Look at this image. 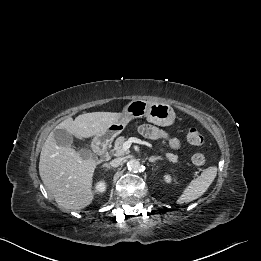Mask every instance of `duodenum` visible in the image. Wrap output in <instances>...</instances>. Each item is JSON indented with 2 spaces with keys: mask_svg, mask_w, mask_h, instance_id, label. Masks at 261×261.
Returning a JSON list of instances; mask_svg holds the SVG:
<instances>
[{
  "mask_svg": "<svg viewBox=\"0 0 261 261\" xmlns=\"http://www.w3.org/2000/svg\"><path fill=\"white\" fill-rule=\"evenodd\" d=\"M92 150L99 156H104L107 151V141L101 139L93 143Z\"/></svg>",
  "mask_w": 261,
  "mask_h": 261,
  "instance_id": "1",
  "label": "duodenum"
}]
</instances>
